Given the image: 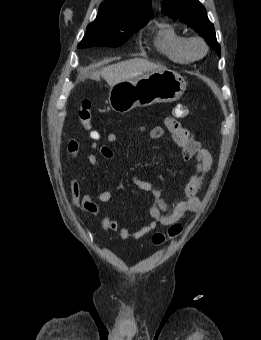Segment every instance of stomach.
<instances>
[{"mask_svg": "<svg viewBox=\"0 0 261 340\" xmlns=\"http://www.w3.org/2000/svg\"><path fill=\"white\" fill-rule=\"evenodd\" d=\"M186 89L184 78L165 69L147 72L134 79L122 81L110 88L109 104L118 113H127L135 107L178 100Z\"/></svg>", "mask_w": 261, "mask_h": 340, "instance_id": "1", "label": "stomach"}]
</instances>
